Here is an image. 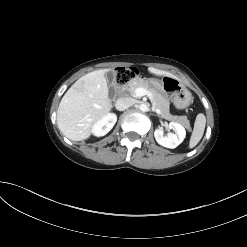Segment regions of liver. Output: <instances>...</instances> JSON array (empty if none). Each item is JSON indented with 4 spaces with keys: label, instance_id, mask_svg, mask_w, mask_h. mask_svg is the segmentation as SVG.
<instances>
[{
    "label": "liver",
    "instance_id": "1",
    "mask_svg": "<svg viewBox=\"0 0 247 247\" xmlns=\"http://www.w3.org/2000/svg\"><path fill=\"white\" fill-rule=\"evenodd\" d=\"M107 71L110 69H100L84 75L62 97L57 110V125L70 140L88 139L93 124L110 112L112 103L105 78ZM148 71L157 76L177 78L169 72L152 67Z\"/></svg>",
    "mask_w": 247,
    "mask_h": 247
}]
</instances>
